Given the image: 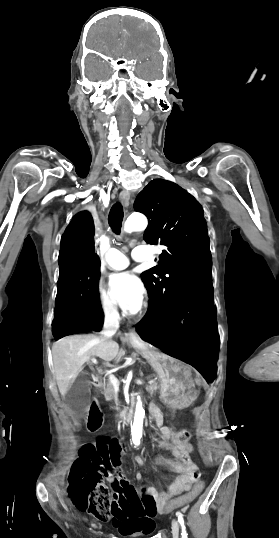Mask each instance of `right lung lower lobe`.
Instances as JSON below:
<instances>
[{"instance_id":"obj_1","label":"right lung lower lobe","mask_w":279,"mask_h":538,"mask_svg":"<svg viewBox=\"0 0 279 538\" xmlns=\"http://www.w3.org/2000/svg\"><path fill=\"white\" fill-rule=\"evenodd\" d=\"M58 262L54 338L97 331L103 325L104 315L98 292L100 261L94 253V224L89 212L78 213L67 226Z\"/></svg>"}]
</instances>
